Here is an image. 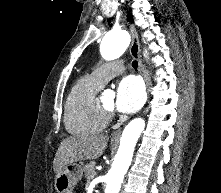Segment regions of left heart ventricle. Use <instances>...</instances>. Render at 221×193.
I'll list each match as a JSON object with an SVG mask.
<instances>
[{"label": "left heart ventricle", "instance_id": "1", "mask_svg": "<svg viewBox=\"0 0 221 193\" xmlns=\"http://www.w3.org/2000/svg\"><path fill=\"white\" fill-rule=\"evenodd\" d=\"M100 102L107 108L112 109L114 106V96L103 97Z\"/></svg>", "mask_w": 221, "mask_h": 193}]
</instances>
